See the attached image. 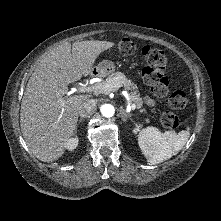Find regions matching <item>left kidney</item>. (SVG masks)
I'll use <instances>...</instances> for the list:
<instances>
[{
    "instance_id": "left-kidney-1",
    "label": "left kidney",
    "mask_w": 221,
    "mask_h": 221,
    "mask_svg": "<svg viewBox=\"0 0 221 221\" xmlns=\"http://www.w3.org/2000/svg\"><path fill=\"white\" fill-rule=\"evenodd\" d=\"M140 129V125H136V127L133 129V133H137Z\"/></svg>"
}]
</instances>
